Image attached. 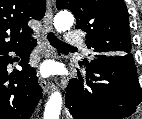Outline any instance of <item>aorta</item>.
I'll return each instance as SVG.
<instances>
[{"mask_svg":"<svg viewBox=\"0 0 142 119\" xmlns=\"http://www.w3.org/2000/svg\"><path fill=\"white\" fill-rule=\"evenodd\" d=\"M74 17L68 11L59 12L54 18V27L57 32H65L73 26ZM62 107V95L56 91L52 93L46 103L43 119H59Z\"/></svg>","mask_w":142,"mask_h":119,"instance_id":"762f6f07","label":"aorta"}]
</instances>
